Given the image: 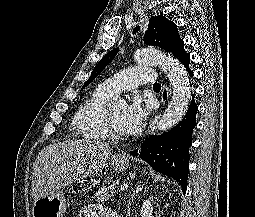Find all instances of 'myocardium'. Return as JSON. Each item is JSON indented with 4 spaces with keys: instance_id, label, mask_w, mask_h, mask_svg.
<instances>
[{
    "instance_id": "f54148a6",
    "label": "myocardium",
    "mask_w": 255,
    "mask_h": 217,
    "mask_svg": "<svg viewBox=\"0 0 255 217\" xmlns=\"http://www.w3.org/2000/svg\"><path fill=\"white\" fill-rule=\"evenodd\" d=\"M104 124H105V130H106L108 139L123 140L125 138L124 134L119 133L115 129L114 124L111 119V116H110V112L108 109H106V111H105Z\"/></svg>"
}]
</instances>
